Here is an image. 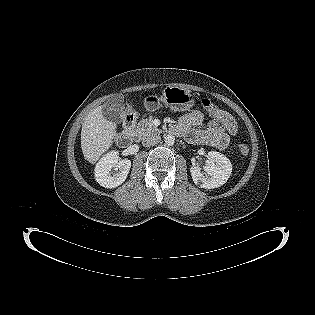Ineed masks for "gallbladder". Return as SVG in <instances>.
Here are the masks:
<instances>
[{
    "mask_svg": "<svg viewBox=\"0 0 315 315\" xmlns=\"http://www.w3.org/2000/svg\"><path fill=\"white\" fill-rule=\"evenodd\" d=\"M119 103V100L117 101H110L107 105L104 106L102 113L103 116L110 121L119 123L121 121L120 114L118 112V108L115 106V104Z\"/></svg>",
    "mask_w": 315,
    "mask_h": 315,
    "instance_id": "1",
    "label": "gallbladder"
}]
</instances>
